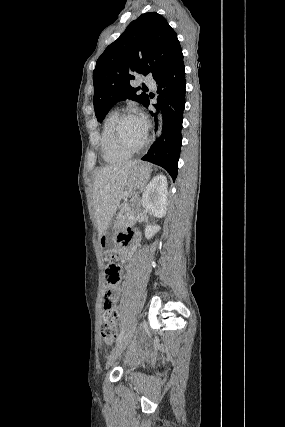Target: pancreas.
<instances>
[{
  "label": "pancreas",
  "mask_w": 285,
  "mask_h": 427,
  "mask_svg": "<svg viewBox=\"0 0 285 427\" xmlns=\"http://www.w3.org/2000/svg\"><path fill=\"white\" fill-rule=\"evenodd\" d=\"M135 209L133 205H123L117 217L119 226L131 224L135 220Z\"/></svg>",
  "instance_id": "1"
}]
</instances>
